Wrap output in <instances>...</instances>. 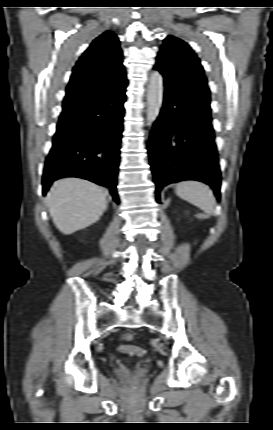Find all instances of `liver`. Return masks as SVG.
I'll list each match as a JSON object with an SVG mask.
<instances>
[{
  "label": "liver",
  "mask_w": 273,
  "mask_h": 430,
  "mask_svg": "<svg viewBox=\"0 0 273 430\" xmlns=\"http://www.w3.org/2000/svg\"><path fill=\"white\" fill-rule=\"evenodd\" d=\"M46 202L55 226L66 235L97 222L107 207L101 187L75 177L55 181Z\"/></svg>",
  "instance_id": "liver-1"
}]
</instances>
